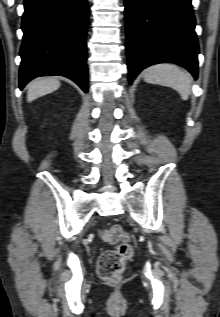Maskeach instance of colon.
I'll list each match as a JSON object with an SVG mask.
<instances>
[{
  "instance_id": "colon-1",
  "label": "colon",
  "mask_w": 220,
  "mask_h": 317,
  "mask_svg": "<svg viewBox=\"0 0 220 317\" xmlns=\"http://www.w3.org/2000/svg\"><path fill=\"white\" fill-rule=\"evenodd\" d=\"M101 238L115 247L104 251L100 255L97 263L98 275L103 280L119 282L122 278L126 262L133 255L130 236L123 227L113 225L102 231Z\"/></svg>"
}]
</instances>
